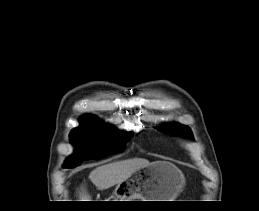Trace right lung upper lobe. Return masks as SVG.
<instances>
[{"label": "right lung upper lobe", "mask_w": 259, "mask_h": 211, "mask_svg": "<svg viewBox=\"0 0 259 211\" xmlns=\"http://www.w3.org/2000/svg\"><path fill=\"white\" fill-rule=\"evenodd\" d=\"M82 118H92V117H89V116H84V117H82Z\"/></svg>", "instance_id": "obj_1"}]
</instances>
